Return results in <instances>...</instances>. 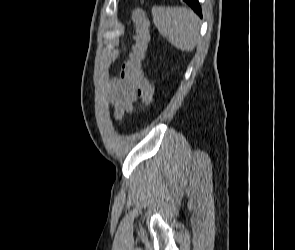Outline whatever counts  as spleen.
Segmentation results:
<instances>
[{
  "mask_svg": "<svg viewBox=\"0 0 295 250\" xmlns=\"http://www.w3.org/2000/svg\"><path fill=\"white\" fill-rule=\"evenodd\" d=\"M153 22L159 33L181 51H192L199 39V19L186 7L154 6Z\"/></svg>",
  "mask_w": 295,
  "mask_h": 250,
  "instance_id": "1",
  "label": "spleen"
}]
</instances>
